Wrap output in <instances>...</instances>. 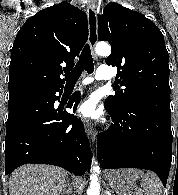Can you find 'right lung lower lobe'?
Instances as JSON below:
<instances>
[{
    "label": "right lung lower lobe",
    "instance_id": "obj_1",
    "mask_svg": "<svg viewBox=\"0 0 178 195\" xmlns=\"http://www.w3.org/2000/svg\"><path fill=\"white\" fill-rule=\"evenodd\" d=\"M55 89L24 91L9 96L5 138V174L27 164L60 166L76 175L90 171L91 151L81 120L54 107ZM80 93L75 92L68 108L75 111Z\"/></svg>",
    "mask_w": 178,
    "mask_h": 195
}]
</instances>
